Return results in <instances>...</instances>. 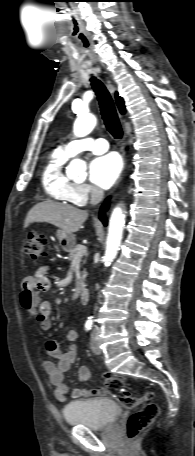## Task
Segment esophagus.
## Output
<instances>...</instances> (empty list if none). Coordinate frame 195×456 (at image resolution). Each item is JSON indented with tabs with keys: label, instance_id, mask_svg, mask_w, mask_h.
Masks as SVG:
<instances>
[{
	"label": "esophagus",
	"instance_id": "1",
	"mask_svg": "<svg viewBox=\"0 0 195 456\" xmlns=\"http://www.w3.org/2000/svg\"><path fill=\"white\" fill-rule=\"evenodd\" d=\"M124 137H126V135H125ZM121 179H122V176L119 178V180H118V182H117V184H116V187L118 186V184H119V182L121 181ZM116 187H115V188H116Z\"/></svg>",
	"mask_w": 195,
	"mask_h": 456
}]
</instances>
